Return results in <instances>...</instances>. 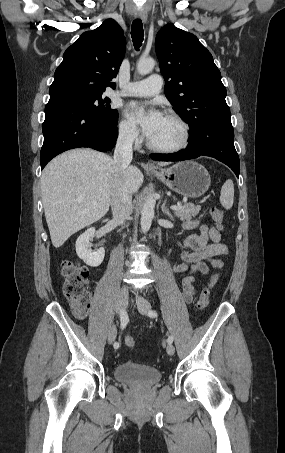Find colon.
I'll use <instances>...</instances> for the list:
<instances>
[{
	"label": "colon",
	"instance_id": "1",
	"mask_svg": "<svg viewBox=\"0 0 285 453\" xmlns=\"http://www.w3.org/2000/svg\"><path fill=\"white\" fill-rule=\"evenodd\" d=\"M210 214L218 228L222 229L223 211L217 207H212ZM60 271L63 277L62 293L64 298L76 316H86L91 304V294L88 290L89 272L87 268L77 261L65 260L61 263ZM210 294L209 287H204L201 290L197 301V308L199 310H203L208 306ZM124 342L129 348L135 346V340L129 335L125 337Z\"/></svg>",
	"mask_w": 285,
	"mask_h": 453
}]
</instances>
